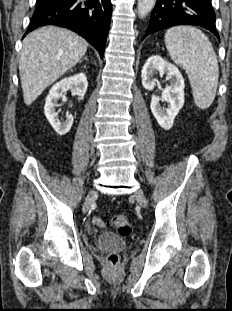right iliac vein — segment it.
<instances>
[{
  "label": "right iliac vein",
  "instance_id": "1",
  "mask_svg": "<svg viewBox=\"0 0 232 311\" xmlns=\"http://www.w3.org/2000/svg\"><path fill=\"white\" fill-rule=\"evenodd\" d=\"M96 196H97L96 190H91L88 193L86 200H85V203H84V206H83V213H86L89 210V208L91 207Z\"/></svg>",
  "mask_w": 232,
  "mask_h": 311
}]
</instances>
